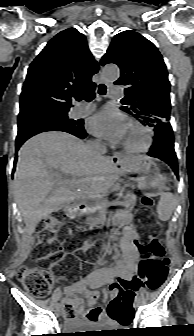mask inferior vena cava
Segmentation results:
<instances>
[{
    "instance_id": "602c4592",
    "label": "inferior vena cava",
    "mask_w": 194,
    "mask_h": 336,
    "mask_svg": "<svg viewBox=\"0 0 194 336\" xmlns=\"http://www.w3.org/2000/svg\"><path fill=\"white\" fill-rule=\"evenodd\" d=\"M86 148L90 154L96 156L103 155L107 152L106 147L99 140L88 141Z\"/></svg>"
}]
</instances>
